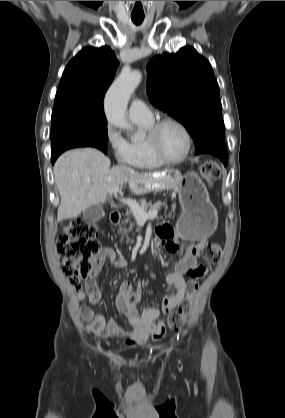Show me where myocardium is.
<instances>
[{
	"instance_id": "myocardium-1",
	"label": "myocardium",
	"mask_w": 285,
	"mask_h": 418,
	"mask_svg": "<svg viewBox=\"0 0 285 418\" xmlns=\"http://www.w3.org/2000/svg\"><path fill=\"white\" fill-rule=\"evenodd\" d=\"M168 124H172L180 128L186 137L187 144L185 152L181 157L177 159H170L166 157L158 144V135L161 129ZM146 142L153 157L163 164L169 165L180 164L184 162L190 155L193 146V139L189 129L182 122L171 117L162 118L153 123L149 128L148 134L146 136Z\"/></svg>"
}]
</instances>
